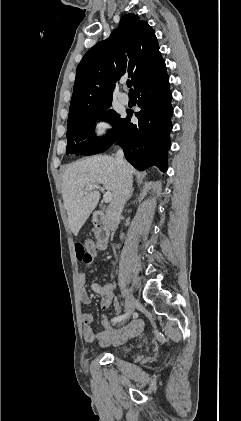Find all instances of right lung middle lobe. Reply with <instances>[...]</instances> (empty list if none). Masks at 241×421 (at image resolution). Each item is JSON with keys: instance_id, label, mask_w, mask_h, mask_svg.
<instances>
[{"instance_id": "right-lung-middle-lobe-1", "label": "right lung middle lobe", "mask_w": 241, "mask_h": 421, "mask_svg": "<svg viewBox=\"0 0 241 421\" xmlns=\"http://www.w3.org/2000/svg\"><path fill=\"white\" fill-rule=\"evenodd\" d=\"M109 107L88 116L68 121L66 153L76 155H94L107 150L122 134L125 119ZM98 120L107 121L113 125V132L107 137L98 139L94 136V128Z\"/></svg>"}]
</instances>
